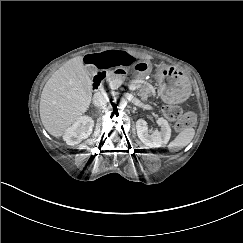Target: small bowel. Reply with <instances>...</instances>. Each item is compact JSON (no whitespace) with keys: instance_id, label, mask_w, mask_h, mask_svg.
<instances>
[{"instance_id":"small-bowel-1","label":"small bowel","mask_w":243,"mask_h":243,"mask_svg":"<svg viewBox=\"0 0 243 243\" xmlns=\"http://www.w3.org/2000/svg\"><path fill=\"white\" fill-rule=\"evenodd\" d=\"M135 60L133 54L122 50H105L84 57L87 65L99 68H127Z\"/></svg>"}]
</instances>
